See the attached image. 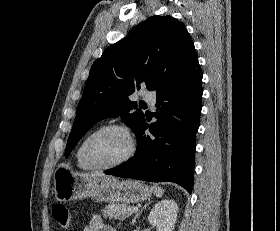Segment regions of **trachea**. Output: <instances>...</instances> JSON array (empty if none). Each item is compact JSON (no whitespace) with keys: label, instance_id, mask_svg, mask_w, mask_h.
<instances>
[{"label":"trachea","instance_id":"1","mask_svg":"<svg viewBox=\"0 0 280 231\" xmlns=\"http://www.w3.org/2000/svg\"><path fill=\"white\" fill-rule=\"evenodd\" d=\"M139 106H140V108H143V109H145L147 107L146 103L140 104Z\"/></svg>","mask_w":280,"mask_h":231}]
</instances>
